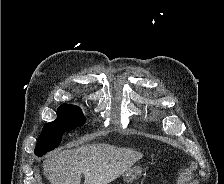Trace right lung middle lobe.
<instances>
[{"mask_svg":"<svg viewBox=\"0 0 224 184\" xmlns=\"http://www.w3.org/2000/svg\"><path fill=\"white\" fill-rule=\"evenodd\" d=\"M57 115L58 118L55 121L46 123L43 127L35 148L37 156H42L57 147L64 132L85 123V117L81 109L74 105H61L57 110Z\"/></svg>","mask_w":224,"mask_h":184,"instance_id":"obj_1","label":"right lung middle lobe"}]
</instances>
